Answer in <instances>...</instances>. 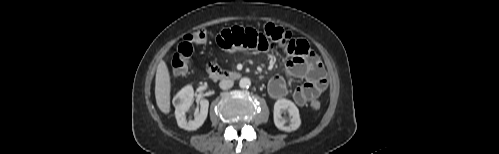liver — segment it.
I'll use <instances>...</instances> for the list:
<instances>
[{"mask_svg": "<svg viewBox=\"0 0 499 154\" xmlns=\"http://www.w3.org/2000/svg\"><path fill=\"white\" fill-rule=\"evenodd\" d=\"M170 73L165 61L158 64L155 77V98L158 108L164 113L169 114L170 108Z\"/></svg>", "mask_w": 499, "mask_h": 154, "instance_id": "liver-1", "label": "liver"}]
</instances>
